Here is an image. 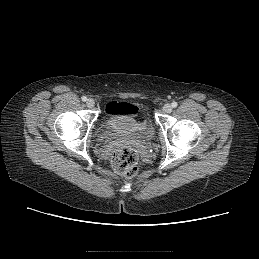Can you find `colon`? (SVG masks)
<instances>
[{
  "instance_id": "5ec220e1",
  "label": "colon",
  "mask_w": 259,
  "mask_h": 259,
  "mask_svg": "<svg viewBox=\"0 0 259 259\" xmlns=\"http://www.w3.org/2000/svg\"><path fill=\"white\" fill-rule=\"evenodd\" d=\"M123 114H132L135 108L131 104L121 106ZM138 151L134 148L122 146L114 150L111 163L115 172L126 178H134L138 173Z\"/></svg>"
}]
</instances>
